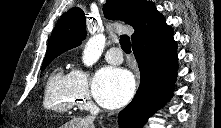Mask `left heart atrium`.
Masks as SVG:
<instances>
[{"mask_svg": "<svg viewBox=\"0 0 221 128\" xmlns=\"http://www.w3.org/2000/svg\"><path fill=\"white\" fill-rule=\"evenodd\" d=\"M135 84L126 70L107 67L98 72L93 84L95 99L106 108L126 104L134 94Z\"/></svg>", "mask_w": 221, "mask_h": 128, "instance_id": "left-heart-atrium-1", "label": "left heart atrium"}]
</instances>
